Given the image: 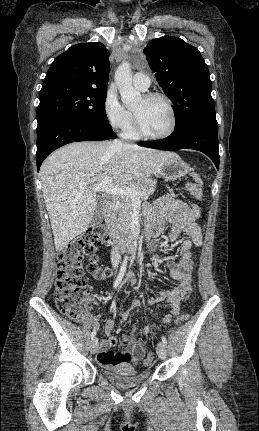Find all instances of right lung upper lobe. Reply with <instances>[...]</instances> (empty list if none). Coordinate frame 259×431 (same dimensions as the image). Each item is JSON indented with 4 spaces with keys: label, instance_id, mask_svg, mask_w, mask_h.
<instances>
[{
    "label": "right lung upper lobe",
    "instance_id": "1",
    "mask_svg": "<svg viewBox=\"0 0 259 431\" xmlns=\"http://www.w3.org/2000/svg\"><path fill=\"white\" fill-rule=\"evenodd\" d=\"M109 51L102 43H80L59 55L46 73L41 93L54 85L106 90Z\"/></svg>",
    "mask_w": 259,
    "mask_h": 431
}]
</instances>
